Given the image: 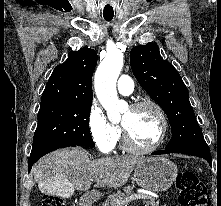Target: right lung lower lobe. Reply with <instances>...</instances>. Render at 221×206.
Returning <instances> with one entry per match:
<instances>
[{"label": "right lung lower lobe", "mask_w": 221, "mask_h": 206, "mask_svg": "<svg viewBox=\"0 0 221 206\" xmlns=\"http://www.w3.org/2000/svg\"><path fill=\"white\" fill-rule=\"evenodd\" d=\"M66 147H77V146H66ZM64 148V147H62ZM59 149V148H58ZM56 150V149H54ZM53 150H50V151H46V152H43V153H40V154H36V155H30L29 157V160H28V172H30L31 168H32V165L37 161L39 160L42 156H44L45 154L51 152Z\"/></svg>", "instance_id": "98d812e1"}]
</instances>
